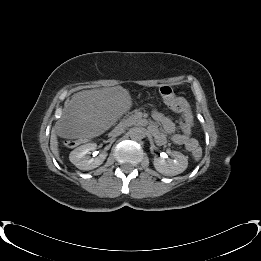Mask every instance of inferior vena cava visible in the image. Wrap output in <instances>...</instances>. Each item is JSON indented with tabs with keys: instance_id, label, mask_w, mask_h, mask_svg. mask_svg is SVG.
Segmentation results:
<instances>
[{
	"instance_id": "602c4592",
	"label": "inferior vena cava",
	"mask_w": 261,
	"mask_h": 261,
	"mask_svg": "<svg viewBox=\"0 0 261 261\" xmlns=\"http://www.w3.org/2000/svg\"><path fill=\"white\" fill-rule=\"evenodd\" d=\"M123 131H124V128L120 129V130L116 133V135L121 134Z\"/></svg>"
}]
</instances>
